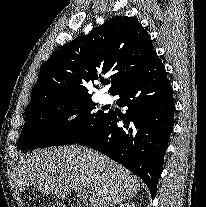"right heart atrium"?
Returning a JSON list of instances; mask_svg holds the SVG:
<instances>
[{"mask_svg": "<svg viewBox=\"0 0 206 207\" xmlns=\"http://www.w3.org/2000/svg\"><path fill=\"white\" fill-rule=\"evenodd\" d=\"M80 118L81 113L79 111H73L65 117L64 124L67 126L74 125L80 120Z\"/></svg>", "mask_w": 206, "mask_h": 207, "instance_id": "d8ad5b80", "label": "right heart atrium"}]
</instances>
